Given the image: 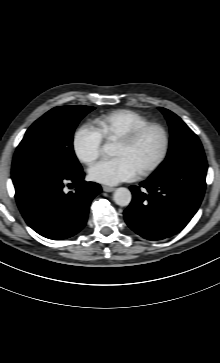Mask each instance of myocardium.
<instances>
[{
	"instance_id": "obj_1",
	"label": "myocardium",
	"mask_w": 220,
	"mask_h": 363,
	"mask_svg": "<svg viewBox=\"0 0 220 363\" xmlns=\"http://www.w3.org/2000/svg\"><path fill=\"white\" fill-rule=\"evenodd\" d=\"M158 130L162 136V144L157 158L148 166L138 172L139 177H145L155 172L166 160L169 147L170 136L166 127L158 122H149L116 140V144L131 146L137 143L148 131Z\"/></svg>"
}]
</instances>
